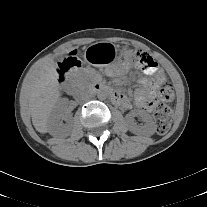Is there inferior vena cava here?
Here are the masks:
<instances>
[{
    "label": "inferior vena cava",
    "mask_w": 207,
    "mask_h": 207,
    "mask_svg": "<svg viewBox=\"0 0 207 207\" xmlns=\"http://www.w3.org/2000/svg\"><path fill=\"white\" fill-rule=\"evenodd\" d=\"M92 98V95L87 93V92H81L80 94L77 95L76 101L79 103H84L89 101Z\"/></svg>",
    "instance_id": "1"
}]
</instances>
